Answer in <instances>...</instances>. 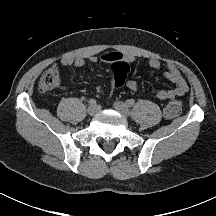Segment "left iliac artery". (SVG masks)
Returning <instances> with one entry per match:
<instances>
[{
	"instance_id": "obj_1",
	"label": "left iliac artery",
	"mask_w": 216,
	"mask_h": 216,
	"mask_svg": "<svg viewBox=\"0 0 216 216\" xmlns=\"http://www.w3.org/2000/svg\"><path fill=\"white\" fill-rule=\"evenodd\" d=\"M126 104H127L129 107H131V106H133V105L135 104V101H134L133 99H128V100L126 101Z\"/></svg>"
}]
</instances>
